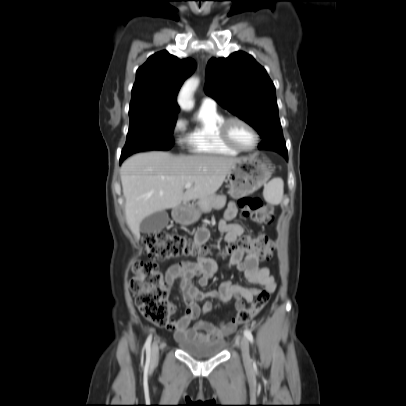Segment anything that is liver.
I'll list each match as a JSON object with an SVG mask.
<instances>
[{"mask_svg":"<svg viewBox=\"0 0 406 406\" xmlns=\"http://www.w3.org/2000/svg\"><path fill=\"white\" fill-rule=\"evenodd\" d=\"M242 158L167 152L139 153L121 166L126 222L134 235L149 215L213 196ZM192 183L184 192L185 184Z\"/></svg>","mask_w":406,"mask_h":406,"instance_id":"obj_1","label":"liver"}]
</instances>
